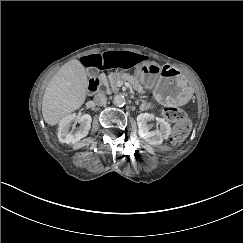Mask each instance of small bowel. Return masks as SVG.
<instances>
[{"label":"small bowel","instance_id":"obj_1","mask_svg":"<svg viewBox=\"0 0 243 243\" xmlns=\"http://www.w3.org/2000/svg\"><path fill=\"white\" fill-rule=\"evenodd\" d=\"M144 57L136 52L127 50H110L84 56L82 64L88 69L99 70L103 68L129 69L137 66Z\"/></svg>","mask_w":243,"mask_h":243}]
</instances>
